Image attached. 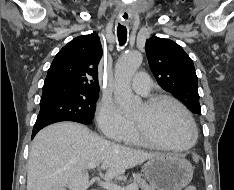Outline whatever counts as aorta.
I'll return each mask as SVG.
<instances>
[{
  "instance_id": "762f6f07",
  "label": "aorta",
  "mask_w": 234,
  "mask_h": 190,
  "mask_svg": "<svg viewBox=\"0 0 234 190\" xmlns=\"http://www.w3.org/2000/svg\"><path fill=\"white\" fill-rule=\"evenodd\" d=\"M142 62V55L138 51L124 53L115 66L114 95L119 107L125 114L133 113L140 103L139 97L133 94L130 82Z\"/></svg>"
}]
</instances>
